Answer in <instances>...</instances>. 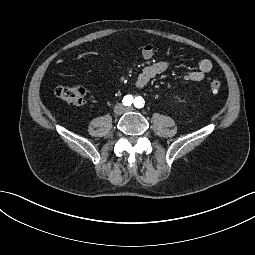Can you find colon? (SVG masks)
Instances as JSON below:
<instances>
[{"instance_id":"5ec220e1","label":"colon","mask_w":255,"mask_h":255,"mask_svg":"<svg viewBox=\"0 0 255 255\" xmlns=\"http://www.w3.org/2000/svg\"><path fill=\"white\" fill-rule=\"evenodd\" d=\"M209 88L212 92L216 93L221 88L219 80H211ZM55 95L70 105H81L84 102L85 89L81 86H58L54 90Z\"/></svg>"}]
</instances>
